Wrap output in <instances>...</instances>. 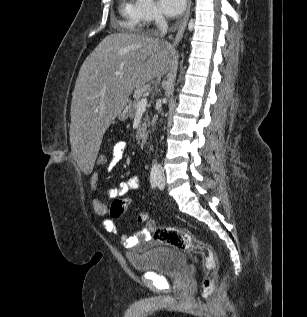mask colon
<instances>
[{"label":"colon","instance_id":"5ec220e1","mask_svg":"<svg viewBox=\"0 0 307 317\" xmlns=\"http://www.w3.org/2000/svg\"><path fill=\"white\" fill-rule=\"evenodd\" d=\"M95 163L99 167H106L108 158L104 153H99ZM130 202L128 198L114 199L110 207L111 217L113 219L120 218ZM137 220L145 224L146 230L152 235V238L156 242L179 250H192L202 254L204 260L202 294L207 295L216 277L218 267L217 258L213 249L205 243L195 241L193 236L185 229L157 225L145 212H140L137 216Z\"/></svg>","mask_w":307,"mask_h":317}]
</instances>
